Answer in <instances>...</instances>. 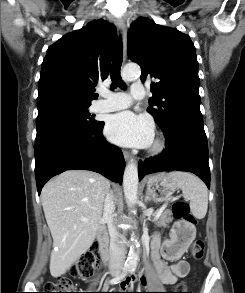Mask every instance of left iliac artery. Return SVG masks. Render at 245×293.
I'll return each mask as SVG.
<instances>
[{"instance_id": "left-iliac-artery-1", "label": "left iliac artery", "mask_w": 245, "mask_h": 293, "mask_svg": "<svg viewBox=\"0 0 245 293\" xmlns=\"http://www.w3.org/2000/svg\"><path fill=\"white\" fill-rule=\"evenodd\" d=\"M135 271V267L130 268V273L132 274Z\"/></svg>"}]
</instances>
